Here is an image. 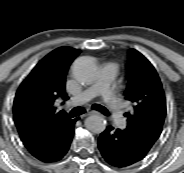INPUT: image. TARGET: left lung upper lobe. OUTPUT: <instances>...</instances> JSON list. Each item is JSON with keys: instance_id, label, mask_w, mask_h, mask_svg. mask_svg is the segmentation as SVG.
<instances>
[{"instance_id": "left-lung-upper-lobe-1", "label": "left lung upper lobe", "mask_w": 184, "mask_h": 173, "mask_svg": "<svg viewBox=\"0 0 184 173\" xmlns=\"http://www.w3.org/2000/svg\"><path fill=\"white\" fill-rule=\"evenodd\" d=\"M124 95L134 104L133 112L125 113V130L151 148L160 137L165 120V96L155 69L134 49L128 54Z\"/></svg>"}]
</instances>
